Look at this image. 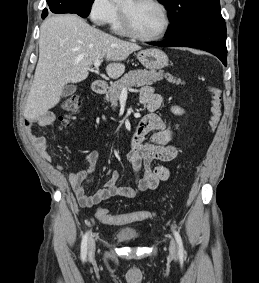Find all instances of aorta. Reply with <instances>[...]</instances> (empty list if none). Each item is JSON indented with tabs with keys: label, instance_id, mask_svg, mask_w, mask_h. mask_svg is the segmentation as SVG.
Here are the masks:
<instances>
[{
	"label": "aorta",
	"instance_id": "aorta-1",
	"mask_svg": "<svg viewBox=\"0 0 259 283\" xmlns=\"http://www.w3.org/2000/svg\"><path fill=\"white\" fill-rule=\"evenodd\" d=\"M113 2H120L121 0H112Z\"/></svg>",
	"mask_w": 259,
	"mask_h": 283
}]
</instances>
